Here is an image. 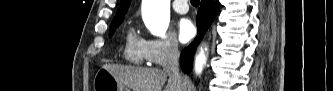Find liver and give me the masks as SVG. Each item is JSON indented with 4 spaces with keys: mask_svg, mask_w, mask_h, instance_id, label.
<instances>
[{
    "mask_svg": "<svg viewBox=\"0 0 333 91\" xmlns=\"http://www.w3.org/2000/svg\"><path fill=\"white\" fill-rule=\"evenodd\" d=\"M102 68L108 70L124 86L132 91H162L169 76L158 68L129 67L114 64H104ZM187 82H181L169 77L164 91H186Z\"/></svg>",
    "mask_w": 333,
    "mask_h": 91,
    "instance_id": "1",
    "label": "liver"
}]
</instances>
